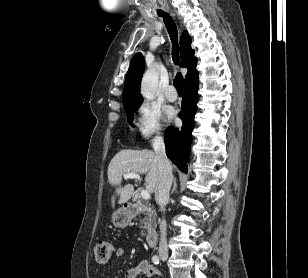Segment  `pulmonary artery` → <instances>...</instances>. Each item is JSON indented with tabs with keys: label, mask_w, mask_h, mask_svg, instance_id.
Masks as SVG:
<instances>
[{
	"label": "pulmonary artery",
	"mask_w": 308,
	"mask_h": 278,
	"mask_svg": "<svg viewBox=\"0 0 308 278\" xmlns=\"http://www.w3.org/2000/svg\"><path fill=\"white\" fill-rule=\"evenodd\" d=\"M165 97L168 101L174 102L177 99V93L173 85H169L165 90Z\"/></svg>",
	"instance_id": "1"
}]
</instances>
